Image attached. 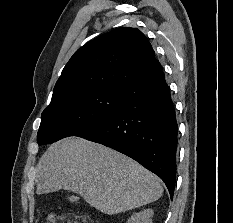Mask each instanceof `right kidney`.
Segmentation results:
<instances>
[{
    "instance_id": "right-kidney-1",
    "label": "right kidney",
    "mask_w": 233,
    "mask_h": 223,
    "mask_svg": "<svg viewBox=\"0 0 233 223\" xmlns=\"http://www.w3.org/2000/svg\"><path fill=\"white\" fill-rule=\"evenodd\" d=\"M152 215L153 209H144V211H139V213H133L127 223H152Z\"/></svg>"
}]
</instances>
